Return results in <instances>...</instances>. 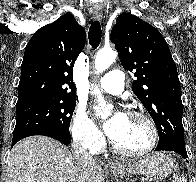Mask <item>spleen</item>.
I'll return each instance as SVG.
<instances>
[{
  "label": "spleen",
  "instance_id": "1",
  "mask_svg": "<svg viewBox=\"0 0 196 182\" xmlns=\"http://www.w3.org/2000/svg\"><path fill=\"white\" fill-rule=\"evenodd\" d=\"M174 182H187L186 178L184 176H180L177 179H175Z\"/></svg>",
  "mask_w": 196,
  "mask_h": 182
}]
</instances>
